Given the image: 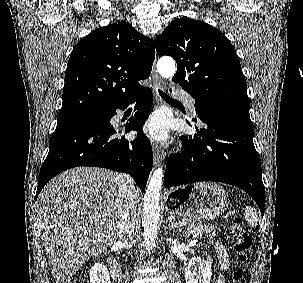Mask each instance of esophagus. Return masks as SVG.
Here are the masks:
<instances>
[{
    "label": "esophagus",
    "mask_w": 303,
    "mask_h": 283,
    "mask_svg": "<svg viewBox=\"0 0 303 283\" xmlns=\"http://www.w3.org/2000/svg\"><path fill=\"white\" fill-rule=\"evenodd\" d=\"M155 63H156V59H155V62L153 64V68H152V78L154 81L155 93H156V89L164 88V81L158 75ZM156 101H157V104H159L160 100H159V97L157 96V93H156ZM153 156H154L155 164H158L165 158V154L158 148L157 145H154V144H153Z\"/></svg>",
    "instance_id": "1"
}]
</instances>
